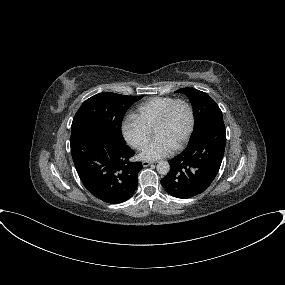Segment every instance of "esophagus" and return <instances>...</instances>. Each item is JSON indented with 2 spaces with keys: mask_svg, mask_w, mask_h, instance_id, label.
I'll return each instance as SVG.
<instances>
[{
  "mask_svg": "<svg viewBox=\"0 0 285 285\" xmlns=\"http://www.w3.org/2000/svg\"><path fill=\"white\" fill-rule=\"evenodd\" d=\"M153 162H149V161H143L142 165L143 167H148L149 165H151Z\"/></svg>",
  "mask_w": 285,
  "mask_h": 285,
  "instance_id": "1",
  "label": "esophagus"
}]
</instances>
